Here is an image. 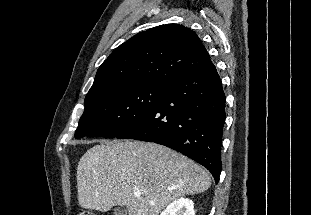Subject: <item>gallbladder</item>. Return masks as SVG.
I'll use <instances>...</instances> for the list:
<instances>
[{"mask_svg": "<svg viewBox=\"0 0 311 215\" xmlns=\"http://www.w3.org/2000/svg\"><path fill=\"white\" fill-rule=\"evenodd\" d=\"M113 215H128V212L124 207H117L114 209Z\"/></svg>", "mask_w": 311, "mask_h": 215, "instance_id": "obj_1", "label": "gallbladder"}]
</instances>
